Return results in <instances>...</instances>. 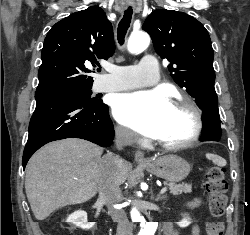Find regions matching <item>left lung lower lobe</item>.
<instances>
[{"instance_id":"0a47b994","label":"left lung lower lobe","mask_w":250,"mask_h":235,"mask_svg":"<svg viewBox=\"0 0 250 235\" xmlns=\"http://www.w3.org/2000/svg\"><path fill=\"white\" fill-rule=\"evenodd\" d=\"M202 119L205 122V126L202 129L203 136L201 141H216L221 133V121L219 118V111L217 106L204 111Z\"/></svg>"}]
</instances>
